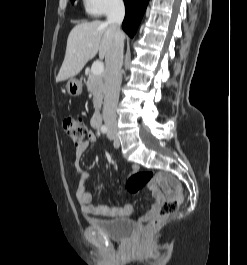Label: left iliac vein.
<instances>
[{
	"label": "left iliac vein",
	"mask_w": 247,
	"mask_h": 265,
	"mask_svg": "<svg viewBox=\"0 0 247 265\" xmlns=\"http://www.w3.org/2000/svg\"><path fill=\"white\" fill-rule=\"evenodd\" d=\"M108 138L113 141V144H114L115 148H119L120 141H119V138L117 137L116 132L114 130H109Z\"/></svg>",
	"instance_id": "obj_1"
}]
</instances>
